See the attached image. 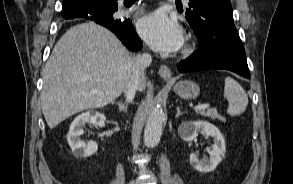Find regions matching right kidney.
Segmentation results:
<instances>
[{"label":"right kidney","instance_id":"ca27d5eb","mask_svg":"<svg viewBox=\"0 0 293 184\" xmlns=\"http://www.w3.org/2000/svg\"><path fill=\"white\" fill-rule=\"evenodd\" d=\"M105 122V115L97 111H88L82 113L74 119L67 134V141L76 157H89L93 155L98 149L97 143H86L80 139V136L84 133L83 127L89 123L98 125L99 127H104Z\"/></svg>","mask_w":293,"mask_h":184}]
</instances>
